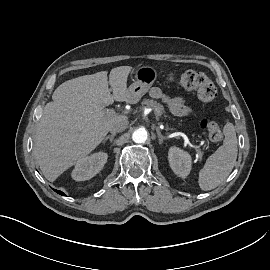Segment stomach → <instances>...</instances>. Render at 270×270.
<instances>
[{
    "instance_id": "0dacf381",
    "label": "stomach",
    "mask_w": 270,
    "mask_h": 270,
    "mask_svg": "<svg viewBox=\"0 0 270 270\" xmlns=\"http://www.w3.org/2000/svg\"><path fill=\"white\" fill-rule=\"evenodd\" d=\"M157 78L151 66H141L135 70V81L128 88V101L136 103L145 95Z\"/></svg>"
}]
</instances>
